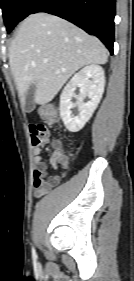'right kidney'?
Listing matches in <instances>:
<instances>
[{"instance_id":"right-kidney-1","label":"right kidney","mask_w":134,"mask_h":281,"mask_svg":"<svg viewBox=\"0 0 134 281\" xmlns=\"http://www.w3.org/2000/svg\"><path fill=\"white\" fill-rule=\"evenodd\" d=\"M105 76L104 70L98 65H89L76 73L64 87L60 96V116L65 127L71 132L81 130L91 118L97 108L104 92ZM79 88L80 94L75 90ZM77 98L76 104L71 99ZM88 97L90 100L84 102ZM78 107L79 113L74 116L71 109Z\"/></svg>"}]
</instances>
